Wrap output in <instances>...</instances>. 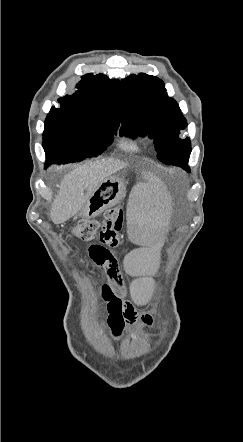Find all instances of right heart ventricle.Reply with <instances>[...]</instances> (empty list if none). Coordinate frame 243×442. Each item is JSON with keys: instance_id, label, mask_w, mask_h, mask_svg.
Masks as SVG:
<instances>
[{"instance_id": "obj_1", "label": "right heart ventricle", "mask_w": 243, "mask_h": 442, "mask_svg": "<svg viewBox=\"0 0 243 442\" xmlns=\"http://www.w3.org/2000/svg\"><path fill=\"white\" fill-rule=\"evenodd\" d=\"M122 148L127 150V151H131V152H135L139 150V144L136 141H133L131 139H124L122 141L121 144Z\"/></svg>"}]
</instances>
